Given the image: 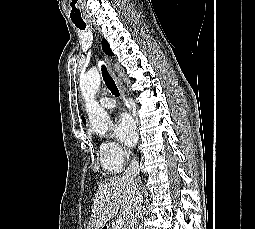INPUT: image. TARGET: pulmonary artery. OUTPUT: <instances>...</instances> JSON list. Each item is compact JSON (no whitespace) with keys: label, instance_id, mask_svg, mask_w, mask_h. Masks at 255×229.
Here are the masks:
<instances>
[{"label":"pulmonary artery","instance_id":"e3ab8cb5","mask_svg":"<svg viewBox=\"0 0 255 229\" xmlns=\"http://www.w3.org/2000/svg\"><path fill=\"white\" fill-rule=\"evenodd\" d=\"M100 105L106 109H112L115 107V101L110 97H102L99 100Z\"/></svg>","mask_w":255,"mask_h":229}]
</instances>
